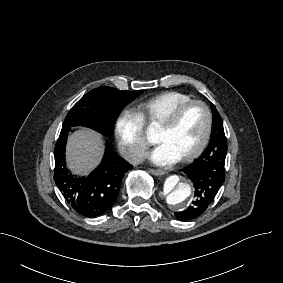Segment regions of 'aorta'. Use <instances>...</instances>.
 Masks as SVG:
<instances>
[{
    "label": "aorta",
    "mask_w": 283,
    "mask_h": 283,
    "mask_svg": "<svg viewBox=\"0 0 283 283\" xmlns=\"http://www.w3.org/2000/svg\"><path fill=\"white\" fill-rule=\"evenodd\" d=\"M162 199L175 209H185L193 199L191 182L183 175H171L166 178L162 190Z\"/></svg>",
    "instance_id": "762f6f07"
}]
</instances>
